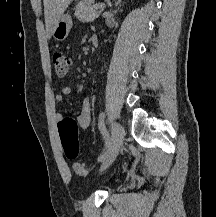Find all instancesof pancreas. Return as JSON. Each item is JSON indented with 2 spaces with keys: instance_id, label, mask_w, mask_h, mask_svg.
Here are the masks:
<instances>
[{
  "instance_id": "pancreas-1",
  "label": "pancreas",
  "mask_w": 216,
  "mask_h": 217,
  "mask_svg": "<svg viewBox=\"0 0 216 217\" xmlns=\"http://www.w3.org/2000/svg\"><path fill=\"white\" fill-rule=\"evenodd\" d=\"M94 0H82L75 8L74 15L83 22H91L100 15L94 8Z\"/></svg>"
}]
</instances>
